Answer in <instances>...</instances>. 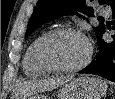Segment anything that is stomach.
Returning a JSON list of instances; mask_svg holds the SVG:
<instances>
[{
    "mask_svg": "<svg viewBox=\"0 0 115 99\" xmlns=\"http://www.w3.org/2000/svg\"><path fill=\"white\" fill-rule=\"evenodd\" d=\"M107 84L100 78L79 77L67 82L57 92L58 99H100L106 94ZM24 99H50V96L32 94Z\"/></svg>",
    "mask_w": 115,
    "mask_h": 99,
    "instance_id": "obj_1",
    "label": "stomach"
}]
</instances>
